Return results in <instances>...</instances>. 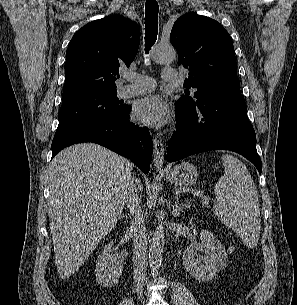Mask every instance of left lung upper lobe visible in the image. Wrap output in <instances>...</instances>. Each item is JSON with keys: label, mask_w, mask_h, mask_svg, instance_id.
I'll return each mask as SVG.
<instances>
[{"label": "left lung upper lobe", "mask_w": 297, "mask_h": 305, "mask_svg": "<svg viewBox=\"0 0 297 305\" xmlns=\"http://www.w3.org/2000/svg\"><path fill=\"white\" fill-rule=\"evenodd\" d=\"M170 40L178 52V65L189 70L184 87L197 89L194 98L185 90L176 104L192 109L239 88L233 43L220 23L194 12L184 14L175 21Z\"/></svg>", "instance_id": "1"}]
</instances>
